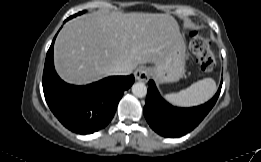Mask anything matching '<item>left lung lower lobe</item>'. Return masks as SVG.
<instances>
[{"label":"left lung lower lobe","mask_w":261,"mask_h":162,"mask_svg":"<svg viewBox=\"0 0 261 162\" xmlns=\"http://www.w3.org/2000/svg\"><path fill=\"white\" fill-rule=\"evenodd\" d=\"M146 103L143 109L149 126L163 137H180L192 131L215 105L222 81L215 96L203 105L178 108L167 103L159 94L153 80L148 82Z\"/></svg>","instance_id":"obj_1"}]
</instances>
